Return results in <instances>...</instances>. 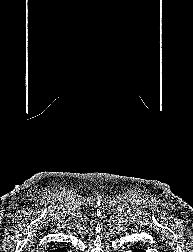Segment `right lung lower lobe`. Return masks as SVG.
Wrapping results in <instances>:
<instances>
[{
  "label": "right lung lower lobe",
  "instance_id": "obj_1",
  "mask_svg": "<svg viewBox=\"0 0 193 252\" xmlns=\"http://www.w3.org/2000/svg\"><path fill=\"white\" fill-rule=\"evenodd\" d=\"M51 252H67V251L63 248H58V249L52 250Z\"/></svg>",
  "mask_w": 193,
  "mask_h": 252
}]
</instances>
